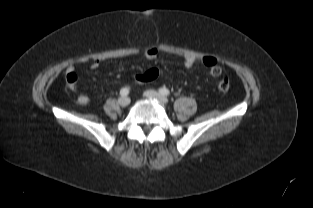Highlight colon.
<instances>
[{
	"instance_id": "5ec220e1",
	"label": "colon",
	"mask_w": 313,
	"mask_h": 208,
	"mask_svg": "<svg viewBox=\"0 0 313 208\" xmlns=\"http://www.w3.org/2000/svg\"><path fill=\"white\" fill-rule=\"evenodd\" d=\"M209 70H210L211 75L213 76H218L221 74V68L219 65L212 66ZM158 76H159V71L155 68H152L137 75L136 79L141 83H149V82H153L154 80H156ZM68 85L71 88L76 87L77 85L76 78L75 77L68 78ZM229 87H230V82L227 77H223L218 82V85H217L218 90L221 92L228 91Z\"/></svg>"
}]
</instances>
